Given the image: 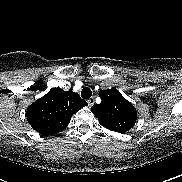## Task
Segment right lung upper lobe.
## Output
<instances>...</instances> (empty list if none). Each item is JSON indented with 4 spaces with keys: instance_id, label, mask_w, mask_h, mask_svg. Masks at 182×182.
Returning a JSON list of instances; mask_svg holds the SVG:
<instances>
[{
    "instance_id": "cb5924a9",
    "label": "right lung upper lobe",
    "mask_w": 182,
    "mask_h": 182,
    "mask_svg": "<svg viewBox=\"0 0 182 182\" xmlns=\"http://www.w3.org/2000/svg\"><path fill=\"white\" fill-rule=\"evenodd\" d=\"M87 105L77 93L53 88L28 107L27 121L42 135L57 134L67 127L73 114Z\"/></svg>"
}]
</instances>
